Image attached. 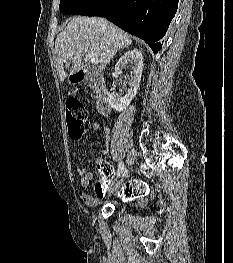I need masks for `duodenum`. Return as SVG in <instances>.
I'll return each mask as SVG.
<instances>
[{"instance_id": "410a0bca", "label": "duodenum", "mask_w": 233, "mask_h": 263, "mask_svg": "<svg viewBox=\"0 0 233 263\" xmlns=\"http://www.w3.org/2000/svg\"><path fill=\"white\" fill-rule=\"evenodd\" d=\"M73 80L78 83L90 81L93 85L96 109L98 113L105 116L111 112L108 90L105 80L100 74L81 69L75 72Z\"/></svg>"}]
</instances>
